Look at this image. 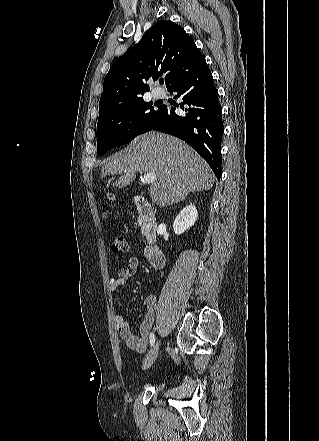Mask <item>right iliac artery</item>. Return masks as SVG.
Wrapping results in <instances>:
<instances>
[{
  "instance_id": "obj_1",
  "label": "right iliac artery",
  "mask_w": 319,
  "mask_h": 441,
  "mask_svg": "<svg viewBox=\"0 0 319 441\" xmlns=\"http://www.w3.org/2000/svg\"><path fill=\"white\" fill-rule=\"evenodd\" d=\"M155 343V335L153 332L150 334V345L153 346Z\"/></svg>"
}]
</instances>
